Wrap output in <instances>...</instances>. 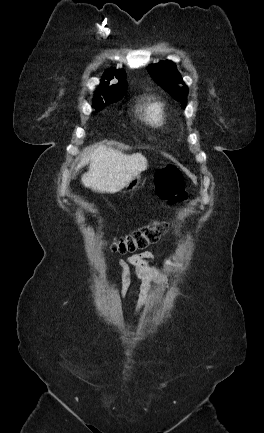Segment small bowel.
I'll use <instances>...</instances> for the list:
<instances>
[{
    "label": "small bowel",
    "mask_w": 264,
    "mask_h": 433,
    "mask_svg": "<svg viewBox=\"0 0 264 433\" xmlns=\"http://www.w3.org/2000/svg\"><path fill=\"white\" fill-rule=\"evenodd\" d=\"M155 254L146 251L139 254H134L132 256H129L125 259H119L118 265L123 273V282H122V289H121V297H124L127 294L128 287H129V267L132 266L135 270L136 276L142 280V287H141V293L140 298L138 301V307H137V314L142 309L146 297H147V286L148 282L152 278H156L162 283L166 282V279L163 275L159 274L156 270H154L151 266L148 264V260L154 259ZM174 259L166 260V265H169L171 262H173Z\"/></svg>",
    "instance_id": "1"
}]
</instances>
